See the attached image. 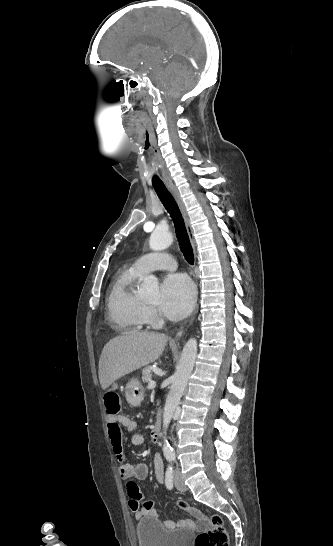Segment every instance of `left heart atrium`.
Segmentation results:
<instances>
[{
    "label": "left heart atrium",
    "mask_w": 333,
    "mask_h": 546,
    "mask_svg": "<svg viewBox=\"0 0 333 546\" xmlns=\"http://www.w3.org/2000/svg\"><path fill=\"white\" fill-rule=\"evenodd\" d=\"M161 310L170 319L178 320L188 315L194 305L195 289L184 274H169L161 287Z\"/></svg>",
    "instance_id": "obj_1"
}]
</instances>
